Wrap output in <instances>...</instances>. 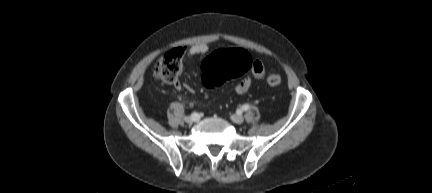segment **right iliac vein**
<instances>
[{
  "instance_id": "63e3f726",
  "label": "right iliac vein",
  "mask_w": 432,
  "mask_h": 193,
  "mask_svg": "<svg viewBox=\"0 0 432 193\" xmlns=\"http://www.w3.org/2000/svg\"><path fill=\"white\" fill-rule=\"evenodd\" d=\"M198 120H199V115H198V114H196V117L187 116V117L185 118V121H186L188 124H192L193 122H196V121H198Z\"/></svg>"
}]
</instances>
